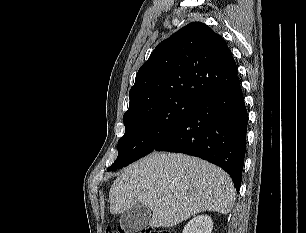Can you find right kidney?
<instances>
[{
    "label": "right kidney",
    "mask_w": 306,
    "mask_h": 233,
    "mask_svg": "<svg viewBox=\"0 0 306 233\" xmlns=\"http://www.w3.org/2000/svg\"><path fill=\"white\" fill-rule=\"evenodd\" d=\"M213 221L210 216L198 215L190 220L184 227L182 233H211Z\"/></svg>",
    "instance_id": "1"
}]
</instances>
